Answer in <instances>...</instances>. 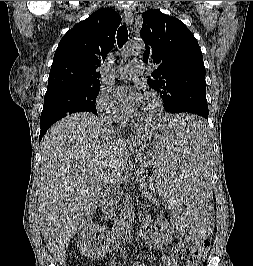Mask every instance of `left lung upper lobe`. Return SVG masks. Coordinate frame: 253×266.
Here are the masks:
<instances>
[{
    "instance_id": "1",
    "label": "left lung upper lobe",
    "mask_w": 253,
    "mask_h": 266,
    "mask_svg": "<svg viewBox=\"0 0 253 266\" xmlns=\"http://www.w3.org/2000/svg\"><path fill=\"white\" fill-rule=\"evenodd\" d=\"M143 59L156 69L148 84L163 100L168 113L194 111V121L208 117L205 67L197 40L180 20L148 10L142 14Z\"/></svg>"
}]
</instances>
